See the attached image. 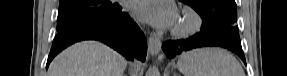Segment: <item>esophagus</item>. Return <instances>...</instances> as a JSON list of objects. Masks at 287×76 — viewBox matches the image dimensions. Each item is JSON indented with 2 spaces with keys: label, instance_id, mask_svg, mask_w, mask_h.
Wrapping results in <instances>:
<instances>
[{
  "label": "esophagus",
  "instance_id": "esophagus-1",
  "mask_svg": "<svg viewBox=\"0 0 287 76\" xmlns=\"http://www.w3.org/2000/svg\"><path fill=\"white\" fill-rule=\"evenodd\" d=\"M148 51L152 56L156 57L158 61L163 60L164 55L161 52V40L155 34L149 37Z\"/></svg>",
  "mask_w": 287,
  "mask_h": 76
}]
</instances>
